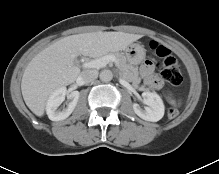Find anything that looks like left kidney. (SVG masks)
<instances>
[{
	"mask_svg": "<svg viewBox=\"0 0 219 174\" xmlns=\"http://www.w3.org/2000/svg\"><path fill=\"white\" fill-rule=\"evenodd\" d=\"M143 103L147 105L142 109L139 104H133L134 112L143 120L157 122L164 116V104L161 97L155 92H143Z\"/></svg>",
	"mask_w": 219,
	"mask_h": 174,
	"instance_id": "obj_1",
	"label": "left kidney"
}]
</instances>
